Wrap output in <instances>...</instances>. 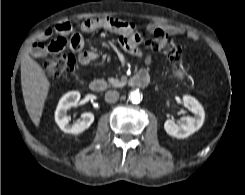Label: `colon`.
Instances as JSON below:
<instances>
[{
	"instance_id": "5ec220e1",
	"label": "colon",
	"mask_w": 245,
	"mask_h": 195,
	"mask_svg": "<svg viewBox=\"0 0 245 195\" xmlns=\"http://www.w3.org/2000/svg\"><path fill=\"white\" fill-rule=\"evenodd\" d=\"M146 45L153 51L161 52L172 63L181 61V50L173 38L162 32L155 30ZM76 57L73 54H66L60 57H52L44 62L46 75L51 79H62L71 77L75 72Z\"/></svg>"
}]
</instances>
